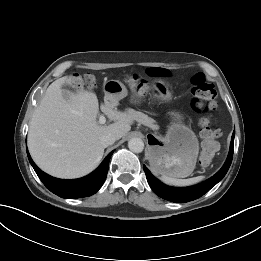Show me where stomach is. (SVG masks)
<instances>
[{
    "label": "stomach",
    "mask_w": 261,
    "mask_h": 261,
    "mask_svg": "<svg viewBox=\"0 0 261 261\" xmlns=\"http://www.w3.org/2000/svg\"><path fill=\"white\" fill-rule=\"evenodd\" d=\"M154 95L163 101L172 98L171 86L164 80L152 84ZM105 99L117 104L127 96L125 85L117 80H110L104 85ZM132 102H139V97H132ZM171 123L165 137L155 134L148 136V160L151 168L159 174L174 178H184L195 169L199 153V143L195 133L184 124V117L179 112H171Z\"/></svg>",
    "instance_id": "0dacf381"
}]
</instances>
